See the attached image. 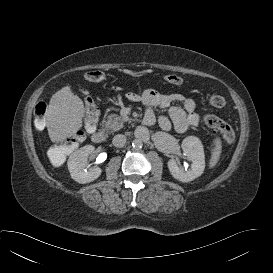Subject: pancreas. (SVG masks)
I'll return each instance as SVG.
<instances>
[{"label":"pancreas","instance_id":"1","mask_svg":"<svg viewBox=\"0 0 273 273\" xmlns=\"http://www.w3.org/2000/svg\"><path fill=\"white\" fill-rule=\"evenodd\" d=\"M131 119L123 118L116 114H111L103 119L102 124L107 132L113 133L123 128L125 122H131Z\"/></svg>","mask_w":273,"mask_h":273}]
</instances>
